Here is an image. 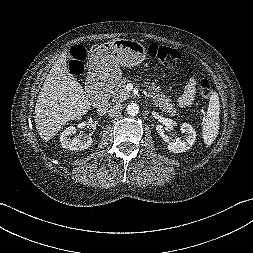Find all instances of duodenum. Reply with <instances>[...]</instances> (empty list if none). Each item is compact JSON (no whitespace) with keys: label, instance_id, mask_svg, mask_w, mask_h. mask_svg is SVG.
Masks as SVG:
<instances>
[{"label":"duodenum","instance_id":"410a0bca","mask_svg":"<svg viewBox=\"0 0 253 253\" xmlns=\"http://www.w3.org/2000/svg\"><path fill=\"white\" fill-rule=\"evenodd\" d=\"M93 95L98 103L99 111L104 113L107 106V88L103 86L96 87Z\"/></svg>","mask_w":253,"mask_h":253}]
</instances>
